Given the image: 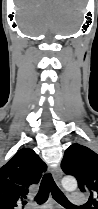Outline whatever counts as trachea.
Returning a JSON list of instances; mask_svg holds the SVG:
<instances>
[{"instance_id":"3493384b","label":"trachea","mask_w":98,"mask_h":209,"mask_svg":"<svg viewBox=\"0 0 98 209\" xmlns=\"http://www.w3.org/2000/svg\"><path fill=\"white\" fill-rule=\"evenodd\" d=\"M49 193L52 194L55 201L66 208H71L73 205L69 202L66 196L62 193V191L58 188L56 183L53 180L51 174H45L41 180L39 192L35 197V201L38 204H42L46 202L48 199Z\"/></svg>"}]
</instances>
